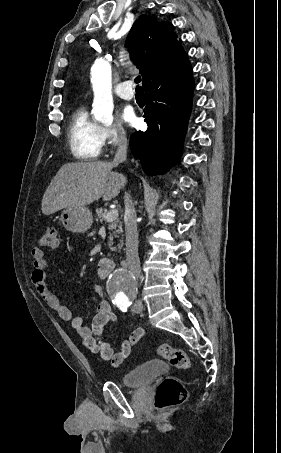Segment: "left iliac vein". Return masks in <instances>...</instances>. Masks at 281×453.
<instances>
[{"instance_id":"1","label":"left iliac vein","mask_w":281,"mask_h":453,"mask_svg":"<svg viewBox=\"0 0 281 453\" xmlns=\"http://www.w3.org/2000/svg\"><path fill=\"white\" fill-rule=\"evenodd\" d=\"M143 309H144V307H143L142 302H137V304L134 305L133 313H140L141 311H143Z\"/></svg>"}]
</instances>
